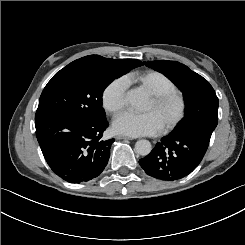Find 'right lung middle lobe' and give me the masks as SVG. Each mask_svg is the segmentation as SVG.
<instances>
[{
    "instance_id": "right-lung-middle-lobe-1",
    "label": "right lung middle lobe",
    "mask_w": 245,
    "mask_h": 245,
    "mask_svg": "<svg viewBox=\"0 0 245 245\" xmlns=\"http://www.w3.org/2000/svg\"><path fill=\"white\" fill-rule=\"evenodd\" d=\"M135 59L115 60L99 55L77 59L58 73L45 86L35 120L53 116L105 119L102 94L114 79L141 66Z\"/></svg>"
}]
</instances>
